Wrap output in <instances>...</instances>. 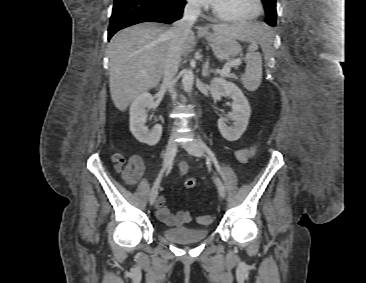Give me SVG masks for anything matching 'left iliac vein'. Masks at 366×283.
<instances>
[{
  "mask_svg": "<svg viewBox=\"0 0 366 283\" xmlns=\"http://www.w3.org/2000/svg\"><path fill=\"white\" fill-rule=\"evenodd\" d=\"M184 148L186 149V151L188 153H190L193 156H197V157L203 156V150L201 148L199 141H197V140L188 142L187 144L184 145ZM216 186H217L220 196L224 198L226 195V190H225V186L220 178H216Z\"/></svg>",
  "mask_w": 366,
  "mask_h": 283,
  "instance_id": "4c4485c4",
  "label": "left iliac vein"
}]
</instances>
